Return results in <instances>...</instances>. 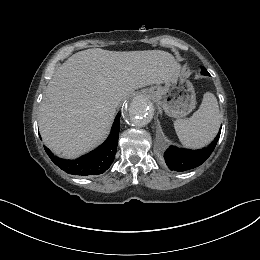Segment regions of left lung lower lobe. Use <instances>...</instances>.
Listing matches in <instances>:
<instances>
[{
    "mask_svg": "<svg viewBox=\"0 0 260 260\" xmlns=\"http://www.w3.org/2000/svg\"><path fill=\"white\" fill-rule=\"evenodd\" d=\"M220 132L214 141L206 148L199 150L180 149L171 146L164 154L165 162L169 169L174 171H186L196 168L203 164L213 152L219 137Z\"/></svg>",
    "mask_w": 260,
    "mask_h": 260,
    "instance_id": "0a47b994",
    "label": "left lung lower lobe"
}]
</instances>
